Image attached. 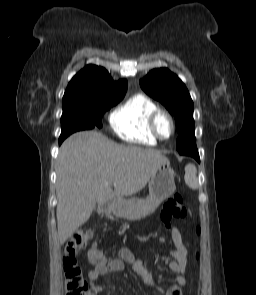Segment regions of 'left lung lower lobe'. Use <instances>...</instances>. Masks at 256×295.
I'll return each instance as SVG.
<instances>
[{"label":"left lung lower lobe","instance_id":"0a47b994","mask_svg":"<svg viewBox=\"0 0 256 295\" xmlns=\"http://www.w3.org/2000/svg\"><path fill=\"white\" fill-rule=\"evenodd\" d=\"M186 155L192 156L195 158L198 162H200L199 154L197 148H192L187 150Z\"/></svg>","mask_w":256,"mask_h":295}]
</instances>
